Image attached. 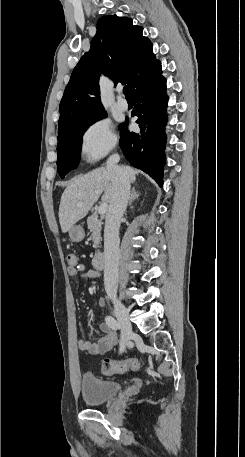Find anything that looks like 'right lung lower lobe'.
<instances>
[{
    "label": "right lung lower lobe",
    "mask_w": 245,
    "mask_h": 457,
    "mask_svg": "<svg viewBox=\"0 0 245 457\" xmlns=\"http://www.w3.org/2000/svg\"><path fill=\"white\" fill-rule=\"evenodd\" d=\"M130 92L135 103L131 116L138 117L136 123L139 124L140 131L129 132L127 118L120 126V147L134 167L149 174L162 186L168 96L161 67L153 75L138 82Z\"/></svg>",
    "instance_id": "right-lung-lower-lobe-1"
}]
</instances>
